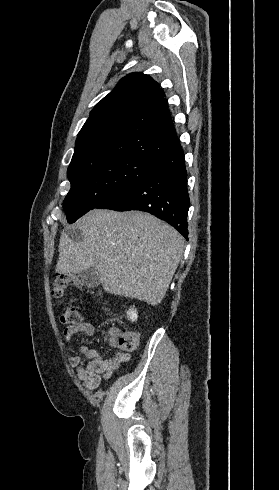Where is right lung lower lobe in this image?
Masks as SVG:
<instances>
[{"label":"right lung lower lobe","instance_id":"98d812e1","mask_svg":"<svg viewBox=\"0 0 279 490\" xmlns=\"http://www.w3.org/2000/svg\"><path fill=\"white\" fill-rule=\"evenodd\" d=\"M189 206L187 171L180 146L157 159L142 178L113 192L96 208L148 212L172 225L188 240Z\"/></svg>","mask_w":279,"mask_h":490}]
</instances>
